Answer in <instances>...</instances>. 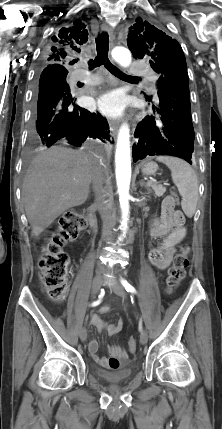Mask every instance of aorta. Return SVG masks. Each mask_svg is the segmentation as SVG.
<instances>
[{
    "label": "aorta",
    "instance_id": "762f6f07",
    "mask_svg": "<svg viewBox=\"0 0 222 429\" xmlns=\"http://www.w3.org/2000/svg\"><path fill=\"white\" fill-rule=\"evenodd\" d=\"M112 57L121 66L127 67L131 63V53L124 47H116L112 50ZM116 182L117 191L119 194V202L122 211L121 226L123 233H126L129 220V189L131 181V153H130V134L127 124H123L120 128L116 153Z\"/></svg>",
    "mask_w": 222,
    "mask_h": 429
}]
</instances>
